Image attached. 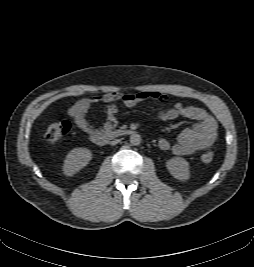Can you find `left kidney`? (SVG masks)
Segmentation results:
<instances>
[{
    "label": "left kidney",
    "mask_w": 254,
    "mask_h": 267,
    "mask_svg": "<svg viewBox=\"0 0 254 267\" xmlns=\"http://www.w3.org/2000/svg\"><path fill=\"white\" fill-rule=\"evenodd\" d=\"M166 167L170 174L181 181L190 178L189 163L181 157H173L166 162Z\"/></svg>",
    "instance_id": "5707ae66"
}]
</instances>
